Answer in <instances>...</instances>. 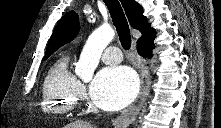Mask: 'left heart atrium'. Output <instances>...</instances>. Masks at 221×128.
I'll use <instances>...</instances> for the list:
<instances>
[{
  "label": "left heart atrium",
  "instance_id": "1",
  "mask_svg": "<svg viewBox=\"0 0 221 128\" xmlns=\"http://www.w3.org/2000/svg\"><path fill=\"white\" fill-rule=\"evenodd\" d=\"M139 81L127 67H108L95 77L90 96L93 102L105 110H118L128 105L137 95Z\"/></svg>",
  "mask_w": 221,
  "mask_h": 128
}]
</instances>
